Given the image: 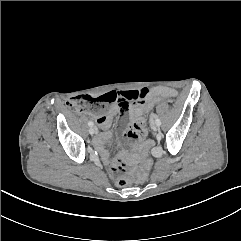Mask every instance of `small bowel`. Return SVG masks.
<instances>
[{
    "instance_id": "obj_1",
    "label": "small bowel",
    "mask_w": 241,
    "mask_h": 241,
    "mask_svg": "<svg viewBox=\"0 0 241 241\" xmlns=\"http://www.w3.org/2000/svg\"><path fill=\"white\" fill-rule=\"evenodd\" d=\"M116 97L121 99L127 98V109L124 112L121 106V114H125V123L119 124V129L123 137L128 141L139 140L144 137L145 128L144 122L139 117V109L142 104L149 102L152 99H158L163 97H173L176 96V90L169 87H156L150 90L147 87L137 88L132 91H121V92H110ZM117 111V106L112 107L106 115L96 117L98 125L107 130L112 122V117ZM110 138V133L105 131L97 135L94 139V146L100 154V158L104 165H106L109 171L114 174L118 172L116 164H113L110 159V155L105 148V142Z\"/></svg>"
}]
</instances>
